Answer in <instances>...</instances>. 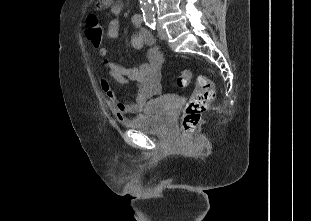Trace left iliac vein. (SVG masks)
I'll use <instances>...</instances> for the list:
<instances>
[{
  "instance_id": "4c4485c4",
  "label": "left iliac vein",
  "mask_w": 311,
  "mask_h": 221,
  "mask_svg": "<svg viewBox=\"0 0 311 221\" xmlns=\"http://www.w3.org/2000/svg\"><path fill=\"white\" fill-rule=\"evenodd\" d=\"M157 31H158V36L161 40H166L167 39V33H166V30L161 27V26H158L157 27Z\"/></svg>"
}]
</instances>
